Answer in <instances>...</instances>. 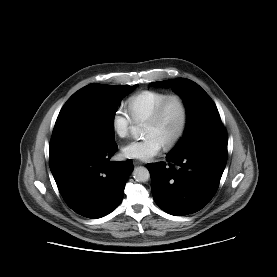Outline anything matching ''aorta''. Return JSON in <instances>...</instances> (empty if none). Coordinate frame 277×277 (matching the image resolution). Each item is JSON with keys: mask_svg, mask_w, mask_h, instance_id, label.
I'll use <instances>...</instances> for the list:
<instances>
[{"mask_svg": "<svg viewBox=\"0 0 277 277\" xmlns=\"http://www.w3.org/2000/svg\"><path fill=\"white\" fill-rule=\"evenodd\" d=\"M131 134L138 138L141 135V129L136 126L131 127ZM133 177L138 182H146L150 178V173L146 167L140 166L133 170Z\"/></svg>", "mask_w": 277, "mask_h": 277, "instance_id": "1", "label": "aorta"}]
</instances>
